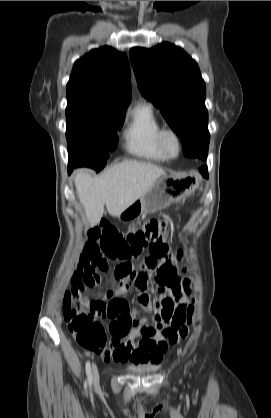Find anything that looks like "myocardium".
<instances>
[{
	"label": "myocardium",
	"mask_w": 271,
	"mask_h": 418,
	"mask_svg": "<svg viewBox=\"0 0 271 418\" xmlns=\"http://www.w3.org/2000/svg\"><path fill=\"white\" fill-rule=\"evenodd\" d=\"M171 137L175 142V151L171 152L167 145L166 140L167 138ZM157 142L161 151L168 157V158H175L180 154L181 151V138L178 132L172 128H162L157 136Z\"/></svg>",
	"instance_id": "f54148a6"
}]
</instances>
